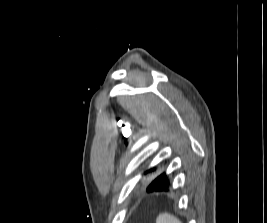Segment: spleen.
Masks as SVG:
<instances>
[{"label": "spleen", "mask_w": 267, "mask_h": 223, "mask_svg": "<svg viewBox=\"0 0 267 223\" xmlns=\"http://www.w3.org/2000/svg\"><path fill=\"white\" fill-rule=\"evenodd\" d=\"M156 223H182V222L168 213H163L158 216Z\"/></svg>", "instance_id": "spleen-1"}]
</instances>
